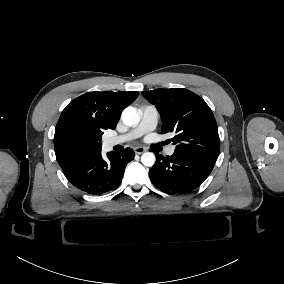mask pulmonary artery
Listing matches in <instances>:
<instances>
[{
  "label": "pulmonary artery",
  "mask_w": 284,
  "mask_h": 284,
  "mask_svg": "<svg viewBox=\"0 0 284 284\" xmlns=\"http://www.w3.org/2000/svg\"><path fill=\"white\" fill-rule=\"evenodd\" d=\"M140 110L141 120L137 126L132 128L129 132L120 136L106 138L104 140V145L112 147L139 138L143 134L154 130L159 117V113L156 107L153 105H143L141 106ZM173 151L174 149L171 148L170 150H168V154H172Z\"/></svg>",
  "instance_id": "e3ab8cb5"
}]
</instances>
